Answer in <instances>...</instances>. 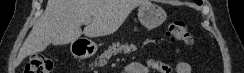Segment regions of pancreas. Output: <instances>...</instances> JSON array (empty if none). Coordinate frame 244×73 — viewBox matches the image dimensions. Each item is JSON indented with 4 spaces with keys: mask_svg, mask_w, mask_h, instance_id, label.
I'll use <instances>...</instances> for the list:
<instances>
[{
    "mask_svg": "<svg viewBox=\"0 0 244 73\" xmlns=\"http://www.w3.org/2000/svg\"><path fill=\"white\" fill-rule=\"evenodd\" d=\"M136 46L134 44L128 45L127 43L121 44L120 42L113 43L107 50H105L99 57L96 65H104L107 60L111 58L112 55H117L119 53H131L136 51Z\"/></svg>",
    "mask_w": 244,
    "mask_h": 73,
    "instance_id": "pancreas-1",
    "label": "pancreas"
}]
</instances>
